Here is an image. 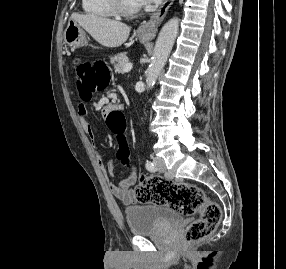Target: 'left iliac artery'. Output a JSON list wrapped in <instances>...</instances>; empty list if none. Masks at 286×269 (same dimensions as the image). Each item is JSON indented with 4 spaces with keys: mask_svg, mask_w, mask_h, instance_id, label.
Listing matches in <instances>:
<instances>
[{
    "mask_svg": "<svg viewBox=\"0 0 286 269\" xmlns=\"http://www.w3.org/2000/svg\"><path fill=\"white\" fill-rule=\"evenodd\" d=\"M146 169L151 172H155L157 170L156 165L149 160L146 162Z\"/></svg>",
    "mask_w": 286,
    "mask_h": 269,
    "instance_id": "obj_1",
    "label": "left iliac artery"
}]
</instances>
